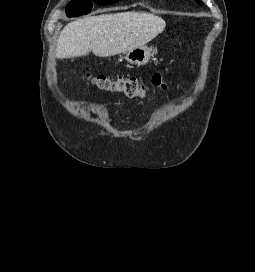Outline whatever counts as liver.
Here are the masks:
<instances>
[{
  "instance_id": "6515ba94",
  "label": "liver",
  "mask_w": 255,
  "mask_h": 272,
  "mask_svg": "<svg viewBox=\"0 0 255 272\" xmlns=\"http://www.w3.org/2000/svg\"><path fill=\"white\" fill-rule=\"evenodd\" d=\"M165 21L154 14L121 12L86 16L66 25L60 33L56 57H80L90 51L108 57L145 46L165 29Z\"/></svg>"
}]
</instances>
